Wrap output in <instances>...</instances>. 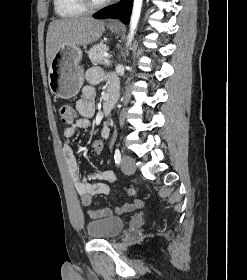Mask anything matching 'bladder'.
<instances>
[{
  "label": "bladder",
  "instance_id": "1",
  "mask_svg": "<svg viewBox=\"0 0 247 280\" xmlns=\"http://www.w3.org/2000/svg\"><path fill=\"white\" fill-rule=\"evenodd\" d=\"M124 228V221L118 217H106L87 224V234L93 239H112Z\"/></svg>",
  "mask_w": 247,
  "mask_h": 280
}]
</instances>
